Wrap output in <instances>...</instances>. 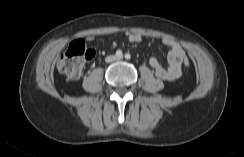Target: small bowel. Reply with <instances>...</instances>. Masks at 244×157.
Masks as SVG:
<instances>
[{
    "mask_svg": "<svg viewBox=\"0 0 244 157\" xmlns=\"http://www.w3.org/2000/svg\"><path fill=\"white\" fill-rule=\"evenodd\" d=\"M126 37L128 41L132 43H139L142 40V36L136 33H126ZM88 40H93V37L89 36ZM161 42L164 46L169 48L167 66H164L160 60L155 57H152L149 60V64L156 77L162 80L174 81L181 76L182 62L185 57V52L180 44L172 38L165 37Z\"/></svg>",
    "mask_w": 244,
    "mask_h": 157,
    "instance_id": "obj_1",
    "label": "small bowel"
}]
</instances>
